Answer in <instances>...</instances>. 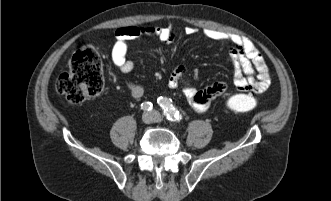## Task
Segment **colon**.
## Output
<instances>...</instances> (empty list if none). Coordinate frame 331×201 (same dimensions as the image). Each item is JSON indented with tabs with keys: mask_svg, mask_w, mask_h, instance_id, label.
Listing matches in <instances>:
<instances>
[{
	"mask_svg": "<svg viewBox=\"0 0 331 201\" xmlns=\"http://www.w3.org/2000/svg\"><path fill=\"white\" fill-rule=\"evenodd\" d=\"M55 88L72 105L101 94L104 78L97 51L89 46L78 49L69 62V69L57 78ZM258 103L252 93H240L226 100V108L237 113L248 112L255 109Z\"/></svg>",
	"mask_w": 331,
	"mask_h": 201,
	"instance_id": "colon-1",
	"label": "colon"
}]
</instances>
